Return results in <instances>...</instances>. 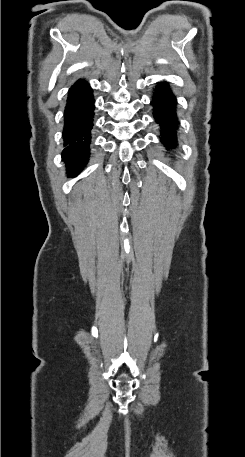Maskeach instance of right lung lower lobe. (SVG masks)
Here are the masks:
<instances>
[{
    "label": "right lung lower lobe",
    "mask_w": 245,
    "mask_h": 457,
    "mask_svg": "<svg viewBox=\"0 0 245 457\" xmlns=\"http://www.w3.org/2000/svg\"><path fill=\"white\" fill-rule=\"evenodd\" d=\"M94 102L92 89L83 79L77 80L68 92L64 111L62 159L72 176L79 174L89 160Z\"/></svg>",
    "instance_id": "1"
}]
</instances>
